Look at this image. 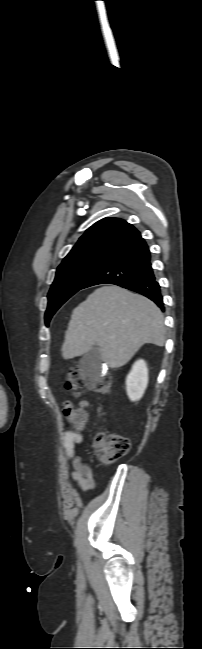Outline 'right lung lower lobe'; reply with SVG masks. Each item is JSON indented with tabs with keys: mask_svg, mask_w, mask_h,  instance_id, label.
Wrapping results in <instances>:
<instances>
[{
	"mask_svg": "<svg viewBox=\"0 0 202 649\" xmlns=\"http://www.w3.org/2000/svg\"><path fill=\"white\" fill-rule=\"evenodd\" d=\"M150 261V251L143 240L114 255L88 279L82 289L97 284H115L148 297L164 311L160 286Z\"/></svg>",
	"mask_w": 202,
	"mask_h": 649,
	"instance_id": "obj_1",
	"label": "right lung lower lobe"
}]
</instances>
